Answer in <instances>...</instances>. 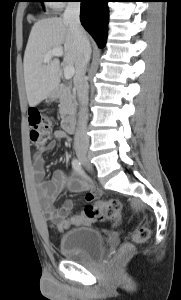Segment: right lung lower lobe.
Returning <instances> with one entry per match:
<instances>
[{"instance_id":"1","label":"right lung lower lobe","mask_w":181,"mask_h":300,"mask_svg":"<svg viewBox=\"0 0 181 300\" xmlns=\"http://www.w3.org/2000/svg\"><path fill=\"white\" fill-rule=\"evenodd\" d=\"M81 2L80 20L84 28L92 35L100 48L107 38L108 1L79 0Z\"/></svg>"}]
</instances>
